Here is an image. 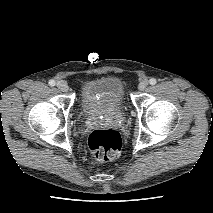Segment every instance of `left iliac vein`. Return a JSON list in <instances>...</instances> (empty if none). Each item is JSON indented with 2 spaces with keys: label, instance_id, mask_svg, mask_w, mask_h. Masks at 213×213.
<instances>
[{
  "label": "left iliac vein",
  "instance_id": "4c4485c4",
  "mask_svg": "<svg viewBox=\"0 0 213 213\" xmlns=\"http://www.w3.org/2000/svg\"><path fill=\"white\" fill-rule=\"evenodd\" d=\"M148 86V80L144 79L142 80L139 85H138V89L139 90H144L146 87Z\"/></svg>",
  "mask_w": 213,
  "mask_h": 213
}]
</instances>
